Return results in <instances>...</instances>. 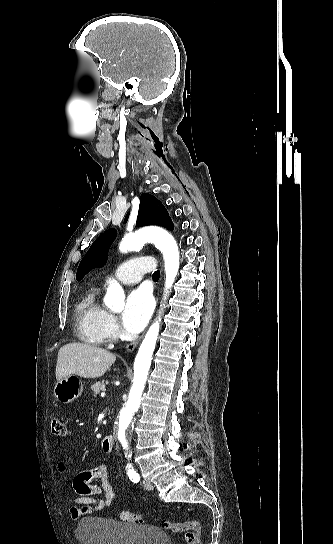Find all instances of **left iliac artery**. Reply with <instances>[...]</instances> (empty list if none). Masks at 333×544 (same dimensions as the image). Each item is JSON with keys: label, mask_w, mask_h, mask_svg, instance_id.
<instances>
[{"label": "left iliac artery", "mask_w": 333, "mask_h": 544, "mask_svg": "<svg viewBox=\"0 0 333 544\" xmlns=\"http://www.w3.org/2000/svg\"><path fill=\"white\" fill-rule=\"evenodd\" d=\"M126 471L129 479L134 482L138 483L140 481L139 474L135 471L134 467L131 464H127Z\"/></svg>", "instance_id": "left-iliac-artery-1"}]
</instances>
